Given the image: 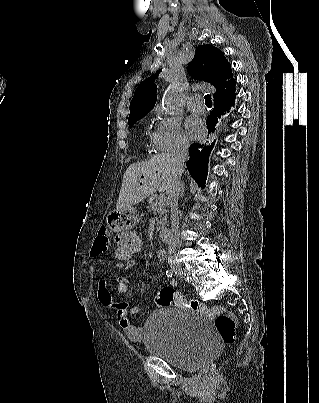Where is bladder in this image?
Returning a JSON list of instances; mask_svg holds the SVG:
<instances>
[{
	"instance_id": "1",
	"label": "bladder",
	"mask_w": 319,
	"mask_h": 403,
	"mask_svg": "<svg viewBox=\"0 0 319 403\" xmlns=\"http://www.w3.org/2000/svg\"><path fill=\"white\" fill-rule=\"evenodd\" d=\"M209 320L184 308L154 310L144 325V345L150 354L178 368H200L220 348Z\"/></svg>"
}]
</instances>
